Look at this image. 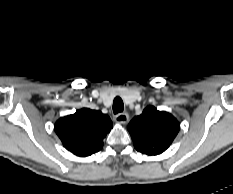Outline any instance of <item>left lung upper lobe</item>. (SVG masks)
<instances>
[{
    "instance_id": "obj_1",
    "label": "left lung upper lobe",
    "mask_w": 233,
    "mask_h": 194,
    "mask_svg": "<svg viewBox=\"0 0 233 194\" xmlns=\"http://www.w3.org/2000/svg\"><path fill=\"white\" fill-rule=\"evenodd\" d=\"M128 130L138 152L158 155L172 143L179 131L178 121L169 113L148 106L128 125Z\"/></svg>"
}]
</instances>
